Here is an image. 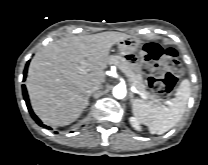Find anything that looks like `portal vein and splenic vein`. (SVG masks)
<instances>
[{
  "mask_svg": "<svg viewBox=\"0 0 208 165\" xmlns=\"http://www.w3.org/2000/svg\"><path fill=\"white\" fill-rule=\"evenodd\" d=\"M130 81V80H129ZM130 86H131V91L138 94V95H141V92L136 88V86L130 81ZM144 99H146V97L142 96Z\"/></svg>",
  "mask_w": 208,
  "mask_h": 165,
  "instance_id": "obj_1",
  "label": "portal vein and splenic vein"
}]
</instances>
